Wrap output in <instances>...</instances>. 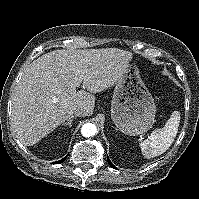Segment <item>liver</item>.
Listing matches in <instances>:
<instances>
[{
  "instance_id": "liver-1",
  "label": "liver",
  "mask_w": 199,
  "mask_h": 199,
  "mask_svg": "<svg viewBox=\"0 0 199 199\" xmlns=\"http://www.w3.org/2000/svg\"><path fill=\"white\" fill-rule=\"evenodd\" d=\"M132 60L118 48L55 50L25 70L12 99V124L25 145L39 142L69 119L76 106L93 114L94 93L116 83ZM83 84L85 90H76ZM93 93V94H92Z\"/></svg>"
}]
</instances>
